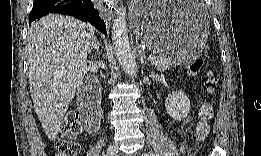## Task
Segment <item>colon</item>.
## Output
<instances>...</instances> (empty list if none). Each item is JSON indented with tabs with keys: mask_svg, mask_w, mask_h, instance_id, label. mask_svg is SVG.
<instances>
[{
	"mask_svg": "<svg viewBox=\"0 0 261 156\" xmlns=\"http://www.w3.org/2000/svg\"><path fill=\"white\" fill-rule=\"evenodd\" d=\"M203 68V61L197 59L193 61L189 67V72L192 75L200 73ZM203 85L205 91L209 94L215 92L218 85V78L212 71H207L204 77ZM214 115V108L210 102L201 105L199 109V120L196 126V140L198 143L203 142L210 132V121ZM86 128L89 131H94V126L90 121H84ZM82 123L79 114L76 111L69 112L62 125L61 135L62 138L56 144L57 155L60 156H76L79 154V145L75 139L81 133Z\"/></svg>",
	"mask_w": 261,
	"mask_h": 156,
	"instance_id": "5ec220e1",
	"label": "colon"
}]
</instances>
